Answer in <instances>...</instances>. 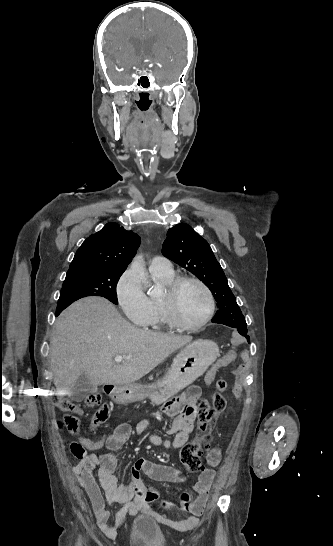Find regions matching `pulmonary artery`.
<instances>
[{
    "label": "pulmonary artery",
    "mask_w": 333,
    "mask_h": 546,
    "mask_svg": "<svg viewBox=\"0 0 333 546\" xmlns=\"http://www.w3.org/2000/svg\"><path fill=\"white\" fill-rule=\"evenodd\" d=\"M149 269L151 272L160 274H171L173 267L171 261L163 256H155L149 263Z\"/></svg>",
    "instance_id": "1"
}]
</instances>
